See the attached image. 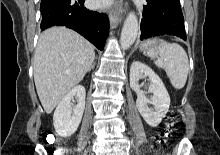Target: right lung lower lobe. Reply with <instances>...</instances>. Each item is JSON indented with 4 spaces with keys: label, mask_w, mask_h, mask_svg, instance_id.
I'll use <instances>...</instances> for the list:
<instances>
[{
    "label": "right lung lower lobe",
    "mask_w": 220,
    "mask_h": 155,
    "mask_svg": "<svg viewBox=\"0 0 220 155\" xmlns=\"http://www.w3.org/2000/svg\"><path fill=\"white\" fill-rule=\"evenodd\" d=\"M40 11L42 30L52 26H66L103 50L109 34V19L106 14L86 9L84 0H50L41 4Z\"/></svg>",
    "instance_id": "obj_1"
}]
</instances>
